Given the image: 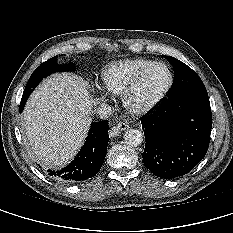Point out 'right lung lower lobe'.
<instances>
[{
    "mask_svg": "<svg viewBox=\"0 0 233 233\" xmlns=\"http://www.w3.org/2000/svg\"><path fill=\"white\" fill-rule=\"evenodd\" d=\"M31 93H23L20 112ZM108 120L91 124L85 144L75 159L61 170L48 169L47 174L60 182L75 183L93 177L102 167L109 141Z\"/></svg>",
    "mask_w": 233,
    "mask_h": 233,
    "instance_id": "obj_1",
    "label": "right lung lower lobe"
}]
</instances>
